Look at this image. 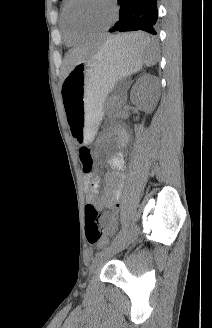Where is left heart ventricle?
Here are the masks:
<instances>
[{
	"instance_id": "left-heart-ventricle-1",
	"label": "left heart ventricle",
	"mask_w": 212,
	"mask_h": 328,
	"mask_svg": "<svg viewBox=\"0 0 212 328\" xmlns=\"http://www.w3.org/2000/svg\"><path fill=\"white\" fill-rule=\"evenodd\" d=\"M112 16L113 8L109 0H76L70 9L73 24L84 29L103 27Z\"/></svg>"
}]
</instances>
